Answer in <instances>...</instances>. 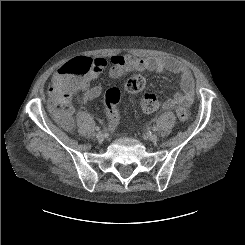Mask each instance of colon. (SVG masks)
<instances>
[{
  "instance_id": "5ec220e1",
  "label": "colon",
  "mask_w": 245,
  "mask_h": 245,
  "mask_svg": "<svg viewBox=\"0 0 245 245\" xmlns=\"http://www.w3.org/2000/svg\"><path fill=\"white\" fill-rule=\"evenodd\" d=\"M101 69L95 59L83 55L74 56L63 65L62 77L54 81L49 89V107L60 126L65 129L72 128V91L83 88ZM145 86V78L140 74H134L127 80L125 89L130 94H139ZM120 100L121 91L118 88H111L105 94L104 108L110 128L117 125L116 111ZM158 105L157 95L154 93L143 95L142 109L145 113L156 111ZM177 115L181 121L187 120L188 112L183 105L177 106Z\"/></svg>"
}]
</instances>
